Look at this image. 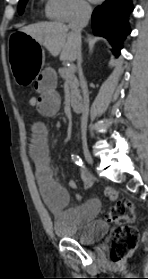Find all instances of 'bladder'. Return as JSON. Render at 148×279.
<instances>
[{
    "label": "bladder",
    "mask_w": 148,
    "mask_h": 279,
    "mask_svg": "<svg viewBox=\"0 0 148 279\" xmlns=\"http://www.w3.org/2000/svg\"><path fill=\"white\" fill-rule=\"evenodd\" d=\"M54 231L58 236L74 240L80 244H93L103 239L108 233V225L102 220H94L84 225L66 223L59 215L53 223Z\"/></svg>",
    "instance_id": "1"
}]
</instances>
